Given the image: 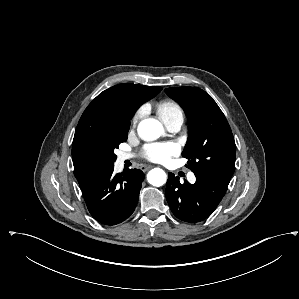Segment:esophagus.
<instances>
[{
    "label": "esophagus",
    "instance_id": "esophagus-1",
    "mask_svg": "<svg viewBox=\"0 0 299 299\" xmlns=\"http://www.w3.org/2000/svg\"><path fill=\"white\" fill-rule=\"evenodd\" d=\"M150 168H152L151 165H141V166H140V169H141L143 172L148 171Z\"/></svg>",
    "mask_w": 299,
    "mask_h": 299
}]
</instances>
